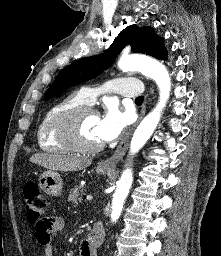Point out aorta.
I'll list each match as a JSON object with an SVG mask.
<instances>
[{
    "mask_svg": "<svg viewBox=\"0 0 221 256\" xmlns=\"http://www.w3.org/2000/svg\"><path fill=\"white\" fill-rule=\"evenodd\" d=\"M118 67L124 72L133 70L141 71L144 75L153 79L159 89L158 103L141 121L133 134L130 143V154L134 155L145 145L160 121L161 115L170 96L171 80L165 66L156 60H143L133 56H126L120 58ZM132 182V169L126 168L123 171L121 178L117 183L116 191L113 194L111 212L112 222H116L118 220Z\"/></svg>",
    "mask_w": 221,
    "mask_h": 256,
    "instance_id": "762f6f07",
    "label": "aorta"
}]
</instances>
